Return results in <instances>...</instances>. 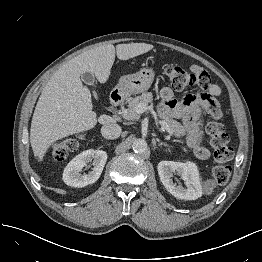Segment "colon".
Returning <instances> with one entry per match:
<instances>
[{
	"label": "colon",
	"instance_id": "obj_1",
	"mask_svg": "<svg viewBox=\"0 0 262 262\" xmlns=\"http://www.w3.org/2000/svg\"><path fill=\"white\" fill-rule=\"evenodd\" d=\"M166 74L169 84L176 91H181L193 86L200 79L208 76V73L204 69H201L198 74H194L177 65L167 66ZM206 130L217 161V165L212 171L213 177L217 183L224 184L231 175V166L228 162L233 158L234 152L228 145V135L221 123L212 120L207 125ZM76 147V140H64L54 146L52 156L56 160H64L68 157L70 152L76 149Z\"/></svg>",
	"mask_w": 262,
	"mask_h": 262
}]
</instances>
